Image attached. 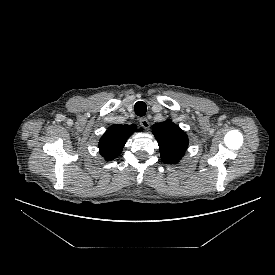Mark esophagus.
I'll use <instances>...</instances> for the list:
<instances>
[{
    "label": "esophagus",
    "instance_id": "1",
    "mask_svg": "<svg viewBox=\"0 0 275 275\" xmlns=\"http://www.w3.org/2000/svg\"><path fill=\"white\" fill-rule=\"evenodd\" d=\"M139 123L144 129H148L150 127V123L146 118H141Z\"/></svg>",
    "mask_w": 275,
    "mask_h": 275
}]
</instances>
